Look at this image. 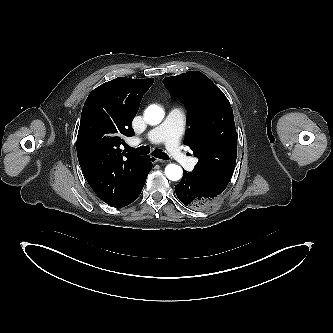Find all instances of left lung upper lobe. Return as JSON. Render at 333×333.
Listing matches in <instances>:
<instances>
[{
    "label": "left lung upper lobe",
    "instance_id": "1",
    "mask_svg": "<svg viewBox=\"0 0 333 333\" xmlns=\"http://www.w3.org/2000/svg\"><path fill=\"white\" fill-rule=\"evenodd\" d=\"M163 83L172 98L183 100L190 110L185 144L199 158L191 173L222 193L232 177L237 157V133L228 99L198 71L166 77Z\"/></svg>",
    "mask_w": 333,
    "mask_h": 333
}]
</instances>
